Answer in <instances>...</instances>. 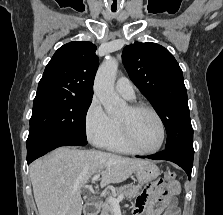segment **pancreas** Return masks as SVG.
I'll list each match as a JSON object with an SVG mask.
<instances>
[{"instance_id": "obj_1", "label": "pancreas", "mask_w": 223, "mask_h": 215, "mask_svg": "<svg viewBox=\"0 0 223 215\" xmlns=\"http://www.w3.org/2000/svg\"><path fill=\"white\" fill-rule=\"evenodd\" d=\"M135 187L136 186L132 185V183H127V185H120V187H116V193H113V195H119L121 193H124L127 199H133L135 195H138V193H140V191H136L134 189ZM101 207H102L101 215H113L114 207H112L110 201H104Z\"/></svg>"}]
</instances>
